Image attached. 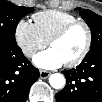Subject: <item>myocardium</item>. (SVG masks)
I'll use <instances>...</instances> for the list:
<instances>
[{"label":"myocardium","instance_id":"f54148a6","mask_svg":"<svg viewBox=\"0 0 102 102\" xmlns=\"http://www.w3.org/2000/svg\"><path fill=\"white\" fill-rule=\"evenodd\" d=\"M79 25L83 26L86 31V36H87L86 43H85V46H84L82 52L76 59L64 63V65L66 67L78 66L86 58V56L90 50L91 42H92V32H91L89 25L83 20H75L73 22H70L67 25H65L62 29H60L56 34H54L48 42L49 46L51 47V45L54 42L64 38L74 27L79 26Z\"/></svg>","mask_w":102,"mask_h":102}]
</instances>
